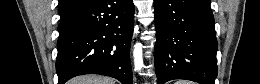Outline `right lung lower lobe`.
Returning a JSON list of instances; mask_svg holds the SVG:
<instances>
[{
	"label": "right lung lower lobe",
	"mask_w": 260,
	"mask_h": 84,
	"mask_svg": "<svg viewBox=\"0 0 260 84\" xmlns=\"http://www.w3.org/2000/svg\"><path fill=\"white\" fill-rule=\"evenodd\" d=\"M132 0H90L62 19L57 43L58 84L82 74H101L132 84Z\"/></svg>",
	"instance_id": "1"
}]
</instances>
